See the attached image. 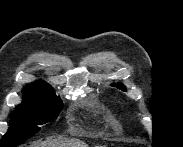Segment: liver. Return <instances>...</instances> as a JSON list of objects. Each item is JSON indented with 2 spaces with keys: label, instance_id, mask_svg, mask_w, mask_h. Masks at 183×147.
Listing matches in <instances>:
<instances>
[{
  "label": "liver",
  "instance_id": "liver-1",
  "mask_svg": "<svg viewBox=\"0 0 183 147\" xmlns=\"http://www.w3.org/2000/svg\"><path fill=\"white\" fill-rule=\"evenodd\" d=\"M32 147H88V145L78 139H58L36 143Z\"/></svg>",
  "mask_w": 183,
  "mask_h": 147
}]
</instances>
